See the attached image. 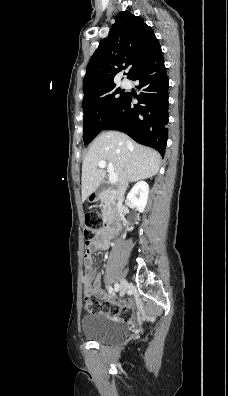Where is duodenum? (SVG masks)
Instances as JSON below:
<instances>
[{
	"label": "duodenum",
	"mask_w": 228,
	"mask_h": 396,
	"mask_svg": "<svg viewBox=\"0 0 228 396\" xmlns=\"http://www.w3.org/2000/svg\"><path fill=\"white\" fill-rule=\"evenodd\" d=\"M107 191V187L101 185L95 195L99 198L102 194ZM121 228V220L118 208H113L105 220V229L106 231L112 233L113 235L116 234Z\"/></svg>",
	"instance_id": "duodenum-1"
}]
</instances>
